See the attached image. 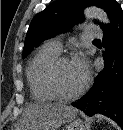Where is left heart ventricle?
I'll return each instance as SVG.
<instances>
[{"label":"left heart ventricle","mask_w":123,"mask_h":130,"mask_svg":"<svg viewBox=\"0 0 123 130\" xmlns=\"http://www.w3.org/2000/svg\"><path fill=\"white\" fill-rule=\"evenodd\" d=\"M58 80L65 92H74L84 83L83 78L73 67L71 61H64L58 68Z\"/></svg>","instance_id":"obj_1"}]
</instances>
